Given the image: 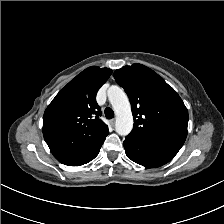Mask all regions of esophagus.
<instances>
[{
  "label": "esophagus",
  "instance_id": "1",
  "mask_svg": "<svg viewBox=\"0 0 224 224\" xmlns=\"http://www.w3.org/2000/svg\"><path fill=\"white\" fill-rule=\"evenodd\" d=\"M109 124H110L111 127H114L115 126V120L114 119L110 120Z\"/></svg>",
  "mask_w": 224,
  "mask_h": 224
}]
</instances>
